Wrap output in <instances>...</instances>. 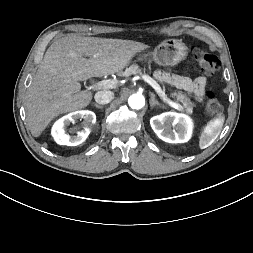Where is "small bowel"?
<instances>
[{
	"mask_svg": "<svg viewBox=\"0 0 253 253\" xmlns=\"http://www.w3.org/2000/svg\"><path fill=\"white\" fill-rule=\"evenodd\" d=\"M157 77L170 80L178 88L192 93L197 99H201L205 93L206 79L204 77H197L194 79L181 75L168 77L163 73H158Z\"/></svg>",
	"mask_w": 253,
	"mask_h": 253,
	"instance_id": "c3829d8e",
	"label": "small bowel"
}]
</instances>
